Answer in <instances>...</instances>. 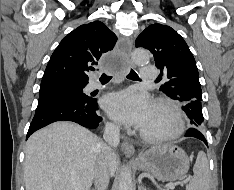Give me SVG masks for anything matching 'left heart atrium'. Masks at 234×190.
I'll return each mask as SVG.
<instances>
[{"label": "left heart atrium", "instance_id": "39dd6f15", "mask_svg": "<svg viewBox=\"0 0 234 190\" xmlns=\"http://www.w3.org/2000/svg\"><path fill=\"white\" fill-rule=\"evenodd\" d=\"M103 106L115 121L142 129L148 122L154 105L147 94L126 89L107 95Z\"/></svg>", "mask_w": 234, "mask_h": 190}]
</instances>
